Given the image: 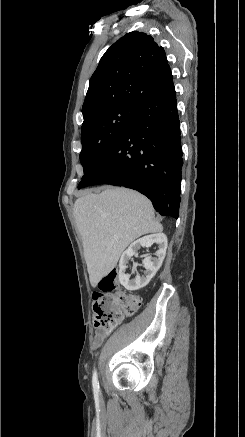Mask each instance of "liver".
Masks as SVG:
<instances>
[{
	"label": "liver",
	"instance_id": "1",
	"mask_svg": "<svg viewBox=\"0 0 245 437\" xmlns=\"http://www.w3.org/2000/svg\"><path fill=\"white\" fill-rule=\"evenodd\" d=\"M73 214L83 240L92 287L117 264L126 247L140 236L161 233L152 203L126 188H107L75 201Z\"/></svg>",
	"mask_w": 245,
	"mask_h": 437
}]
</instances>
